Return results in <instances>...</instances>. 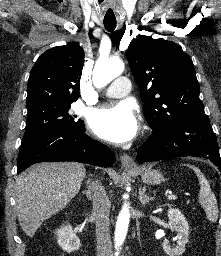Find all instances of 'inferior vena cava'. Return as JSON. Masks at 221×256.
<instances>
[{"instance_id": "obj_1", "label": "inferior vena cava", "mask_w": 221, "mask_h": 256, "mask_svg": "<svg viewBox=\"0 0 221 256\" xmlns=\"http://www.w3.org/2000/svg\"><path fill=\"white\" fill-rule=\"evenodd\" d=\"M91 189L93 216L96 222L97 256H113L109 228L110 201L101 183L92 182Z\"/></svg>"}]
</instances>
